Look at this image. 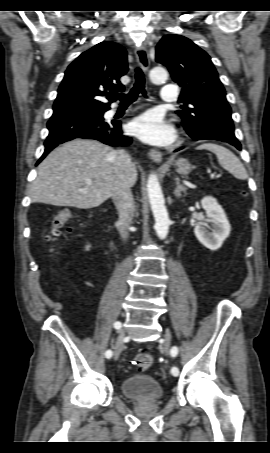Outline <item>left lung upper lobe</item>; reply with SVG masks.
<instances>
[{"instance_id": "obj_1", "label": "left lung upper lobe", "mask_w": 270, "mask_h": 453, "mask_svg": "<svg viewBox=\"0 0 270 453\" xmlns=\"http://www.w3.org/2000/svg\"><path fill=\"white\" fill-rule=\"evenodd\" d=\"M156 61L182 87L183 110L176 113L184 127L236 139L224 87L204 50L184 36L166 35L156 46Z\"/></svg>"}]
</instances>
